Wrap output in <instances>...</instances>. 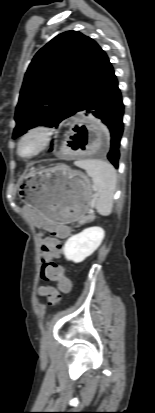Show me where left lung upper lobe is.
<instances>
[{
    "mask_svg": "<svg viewBox=\"0 0 155 413\" xmlns=\"http://www.w3.org/2000/svg\"><path fill=\"white\" fill-rule=\"evenodd\" d=\"M107 58L78 31L61 33L41 48L25 74L13 138L38 125L58 126L77 113Z\"/></svg>",
    "mask_w": 155,
    "mask_h": 413,
    "instance_id": "1",
    "label": "left lung upper lobe"
}]
</instances>
